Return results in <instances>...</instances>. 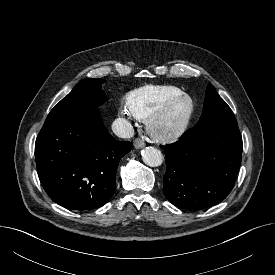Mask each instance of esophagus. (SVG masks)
Masks as SVG:
<instances>
[{
    "instance_id": "esophagus-1",
    "label": "esophagus",
    "mask_w": 275,
    "mask_h": 275,
    "mask_svg": "<svg viewBox=\"0 0 275 275\" xmlns=\"http://www.w3.org/2000/svg\"><path fill=\"white\" fill-rule=\"evenodd\" d=\"M133 145L136 149H141L145 146V142L141 139L137 138L134 140Z\"/></svg>"
}]
</instances>
